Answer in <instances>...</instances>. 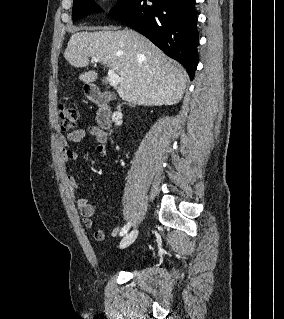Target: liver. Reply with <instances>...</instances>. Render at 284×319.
Here are the masks:
<instances>
[{
    "label": "liver",
    "mask_w": 284,
    "mask_h": 319,
    "mask_svg": "<svg viewBox=\"0 0 284 319\" xmlns=\"http://www.w3.org/2000/svg\"><path fill=\"white\" fill-rule=\"evenodd\" d=\"M77 68L87 67L96 57L121 78L117 93L129 103L159 106L178 103L184 94L188 75L143 35L125 28L118 31L74 33L64 52ZM96 71L84 72L79 79L92 83Z\"/></svg>",
    "instance_id": "obj_1"
}]
</instances>
